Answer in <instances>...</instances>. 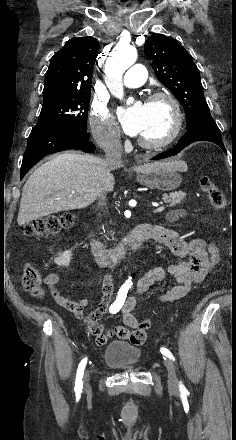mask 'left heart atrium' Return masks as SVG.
Masks as SVG:
<instances>
[{"instance_id":"1","label":"left heart atrium","mask_w":236,"mask_h":440,"mask_svg":"<svg viewBox=\"0 0 236 440\" xmlns=\"http://www.w3.org/2000/svg\"><path fill=\"white\" fill-rule=\"evenodd\" d=\"M123 128L130 136H139L147 119V107L143 102L121 110L120 112Z\"/></svg>"}]
</instances>
